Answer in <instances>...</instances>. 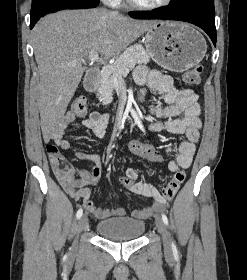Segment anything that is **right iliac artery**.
Wrapping results in <instances>:
<instances>
[{"instance_id": "82829eb1", "label": "right iliac artery", "mask_w": 247, "mask_h": 280, "mask_svg": "<svg viewBox=\"0 0 247 280\" xmlns=\"http://www.w3.org/2000/svg\"><path fill=\"white\" fill-rule=\"evenodd\" d=\"M82 214H83V210H82V208H80L76 213L77 219H79L82 216Z\"/></svg>"}]
</instances>
